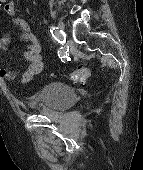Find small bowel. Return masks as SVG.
Instances as JSON below:
<instances>
[{
    "label": "small bowel",
    "instance_id": "c3829d8e",
    "mask_svg": "<svg viewBox=\"0 0 143 170\" xmlns=\"http://www.w3.org/2000/svg\"><path fill=\"white\" fill-rule=\"evenodd\" d=\"M3 12L9 16L15 14V3L12 0H4L0 4ZM14 26L21 33V37L27 42V47L23 51V57L29 62L27 70L22 76V82L28 83L34 76L40 74L44 69V61L41 56V46L38 39L30 32L28 23L22 18H14ZM12 42V35L8 34L0 39V51H6ZM0 75L6 80L12 81L16 75L13 70L0 67Z\"/></svg>",
    "mask_w": 143,
    "mask_h": 170
}]
</instances>
